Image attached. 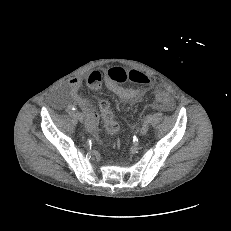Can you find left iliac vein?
<instances>
[{"instance_id": "1", "label": "left iliac vein", "mask_w": 231, "mask_h": 231, "mask_svg": "<svg viewBox=\"0 0 231 231\" xmlns=\"http://www.w3.org/2000/svg\"><path fill=\"white\" fill-rule=\"evenodd\" d=\"M149 130V124L148 123H145L143 124V126L141 127V130H140V134L141 135H145Z\"/></svg>"}]
</instances>
